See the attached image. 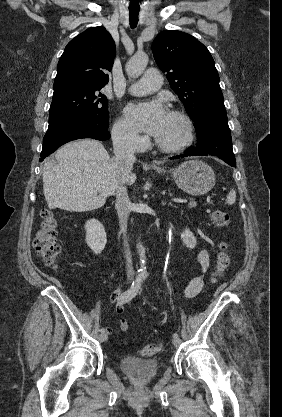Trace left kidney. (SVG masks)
I'll list each match as a JSON object with an SVG mask.
<instances>
[{
  "mask_svg": "<svg viewBox=\"0 0 282 417\" xmlns=\"http://www.w3.org/2000/svg\"><path fill=\"white\" fill-rule=\"evenodd\" d=\"M181 241L188 249H195L196 247V237H194V233L190 229H185L184 233H181Z\"/></svg>",
  "mask_w": 282,
  "mask_h": 417,
  "instance_id": "1",
  "label": "left kidney"
}]
</instances>
